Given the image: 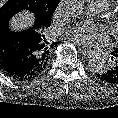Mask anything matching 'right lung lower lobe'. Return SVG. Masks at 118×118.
I'll list each match as a JSON object with an SVG mask.
<instances>
[{"label":"right lung lower lobe","mask_w":118,"mask_h":118,"mask_svg":"<svg viewBox=\"0 0 118 118\" xmlns=\"http://www.w3.org/2000/svg\"><path fill=\"white\" fill-rule=\"evenodd\" d=\"M37 44L31 31L13 32L0 26V69L9 77L23 81L36 77Z\"/></svg>","instance_id":"98d812e1"}]
</instances>
